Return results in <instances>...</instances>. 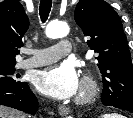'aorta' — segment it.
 <instances>
[{"mask_svg":"<svg viewBox=\"0 0 133 118\" xmlns=\"http://www.w3.org/2000/svg\"><path fill=\"white\" fill-rule=\"evenodd\" d=\"M45 33L51 39L63 38L68 35L69 27L63 22L52 21L47 25Z\"/></svg>","mask_w":133,"mask_h":118,"instance_id":"762f6f07","label":"aorta"}]
</instances>
